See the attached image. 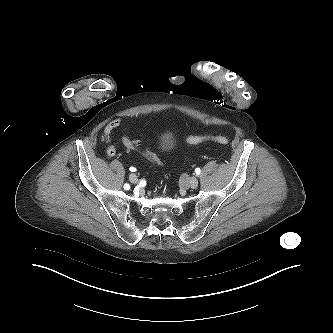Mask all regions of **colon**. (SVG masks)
Masks as SVG:
<instances>
[{
  "label": "colon",
  "mask_w": 333,
  "mask_h": 333,
  "mask_svg": "<svg viewBox=\"0 0 333 333\" xmlns=\"http://www.w3.org/2000/svg\"><path fill=\"white\" fill-rule=\"evenodd\" d=\"M185 140L189 144H199V143L206 142V141H214V142H217V143L222 144V145H227L228 142H229L226 137L220 136V135H201V136L187 135L185 137ZM122 143H123L124 147L127 150L138 151L145 158H147L148 160H150L154 164H156V165L159 164V162L155 158V156H153L149 152H146V151L142 150L140 148L138 142L132 140L129 136H127V135L123 136Z\"/></svg>",
  "instance_id": "obj_1"
}]
</instances>
